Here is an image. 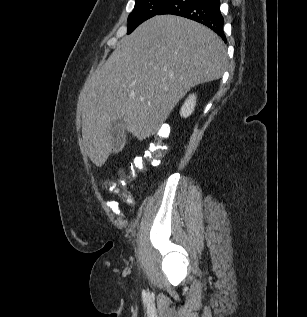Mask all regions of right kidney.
<instances>
[{
	"mask_svg": "<svg viewBox=\"0 0 307 317\" xmlns=\"http://www.w3.org/2000/svg\"><path fill=\"white\" fill-rule=\"evenodd\" d=\"M195 106H196V95L191 94L185 100L183 106L181 107V110H180L181 117H184V118L189 117L193 113Z\"/></svg>",
	"mask_w": 307,
	"mask_h": 317,
	"instance_id": "ca27d5eb",
	"label": "right kidney"
}]
</instances>
